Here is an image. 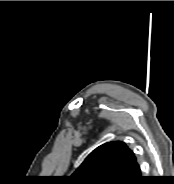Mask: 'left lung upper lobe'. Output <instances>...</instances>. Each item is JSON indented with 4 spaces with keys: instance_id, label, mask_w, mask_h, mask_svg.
<instances>
[{
    "instance_id": "5c2ea615",
    "label": "left lung upper lobe",
    "mask_w": 174,
    "mask_h": 184,
    "mask_svg": "<svg viewBox=\"0 0 174 184\" xmlns=\"http://www.w3.org/2000/svg\"><path fill=\"white\" fill-rule=\"evenodd\" d=\"M136 166L126 144L113 141L93 150L72 177L75 184H129Z\"/></svg>"
}]
</instances>
